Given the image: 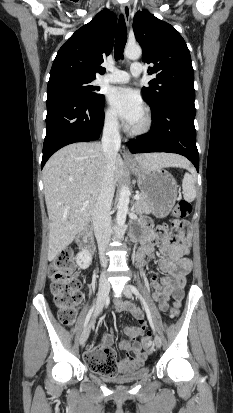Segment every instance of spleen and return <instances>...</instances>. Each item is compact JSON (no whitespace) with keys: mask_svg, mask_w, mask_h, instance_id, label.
I'll use <instances>...</instances> for the list:
<instances>
[{"mask_svg":"<svg viewBox=\"0 0 233 413\" xmlns=\"http://www.w3.org/2000/svg\"><path fill=\"white\" fill-rule=\"evenodd\" d=\"M195 176L190 173H185L183 181H182V188H183V196L186 201H193L196 197V189H195Z\"/></svg>","mask_w":233,"mask_h":413,"instance_id":"1","label":"spleen"}]
</instances>
